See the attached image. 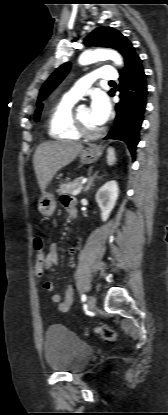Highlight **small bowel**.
Here are the masks:
<instances>
[{"instance_id":"c3829d8e","label":"small bowel","mask_w":168,"mask_h":415,"mask_svg":"<svg viewBox=\"0 0 168 415\" xmlns=\"http://www.w3.org/2000/svg\"><path fill=\"white\" fill-rule=\"evenodd\" d=\"M62 203L64 204V206L69 212H71L75 207L73 199L69 196H63ZM57 251H58L57 245L55 243L50 244L48 251H47V261H46L47 269H49L51 266L57 263L58 261ZM74 251H75L74 249H71L72 257L69 262V265L71 267L75 265L74 258H73ZM53 288H54V285L51 281L48 280L43 283V289L46 292L53 291ZM73 299H74V289L71 285H68L65 288L63 299L59 294H52L50 297L51 302L61 312H67L70 310L73 304Z\"/></svg>"}]
</instances>
